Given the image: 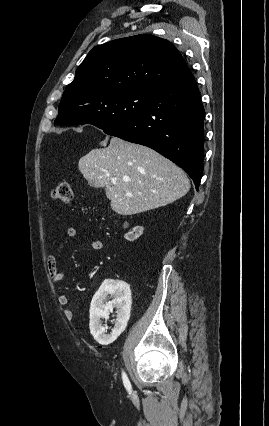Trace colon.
Masks as SVG:
<instances>
[{
    "label": "colon",
    "instance_id": "1",
    "mask_svg": "<svg viewBox=\"0 0 269 426\" xmlns=\"http://www.w3.org/2000/svg\"><path fill=\"white\" fill-rule=\"evenodd\" d=\"M52 197L54 200L61 203L69 202L72 199L70 184L67 181L58 182L52 190Z\"/></svg>",
    "mask_w": 269,
    "mask_h": 426
}]
</instances>
